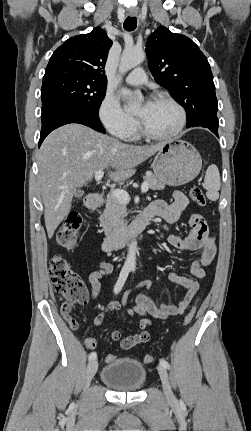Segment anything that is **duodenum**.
I'll return each instance as SVG.
<instances>
[{
  "label": "duodenum",
  "mask_w": 251,
  "mask_h": 431,
  "mask_svg": "<svg viewBox=\"0 0 251 431\" xmlns=\"http://www.w3.org/2000/svg\"><path fill=\"white\" fill-rule=\"evenodd\" d=\"M86 205L90 210H97L103 205V198L100 195L92 194L87 198ZM151 218L152 214L144 210L129 225L110 233L102 243V250L110 252L123 247L146 228Z\"/></svg>",
  "instance_id": "obj_1"
}]
</instances>
